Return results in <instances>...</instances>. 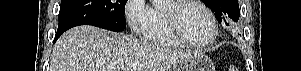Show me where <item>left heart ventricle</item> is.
Returning <instances> with one entry per match:
<instances>
[{
	"instance_id": "b2bd125f",
	"label": "left heart ventricle",
	"mask_w": 301,
	"mask_h": 71,
	"mask_svg": "<svg viewBox=\"0 0 301 71\" xmlns=\"http://www.w3.org/2000/svg\"><path fill=\"white\" fill-rule=\"evenodd\" d=\"M186 36L193 42L204 43L210 39L213 26L206 13L196 5H189L180 12Z\"/></svg>"
}]
</instances>
